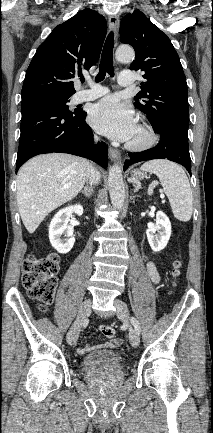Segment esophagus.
<instances>
[{"label": "esophagus", "mask_w": 213, "mask_h": 433, "mask_svg": "<svg viewBox=\"0 0 213 433\" xmlns=\"http://www.w3.org/2000/svg\"><path fill=\"white\" fill-rule=\"evenodd\" d=\"M108 23H109V27L110 29L114 32L115 38H116V34H117V29L119 26V17L117 14H110L108 17ZM109 157L112 161H118L121 162V154L118 150L110 147L109 150Z\"/></svg>", "instance_id": "esophagus-1"}]
</instances>
